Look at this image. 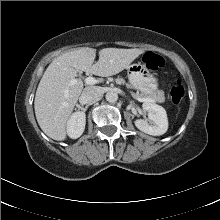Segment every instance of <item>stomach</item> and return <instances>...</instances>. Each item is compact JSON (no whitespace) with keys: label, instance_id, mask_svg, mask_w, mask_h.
<instances>
[{"label":"stomach","instance_id":"stomach-1","mask_svg":"<svg viewBox=\"0 0 220 220\" xmlns=\"http://www.w3.org/2000/svg\"><path fill=\"white\" fill-rule=\"evenodd\" d=\"M127 72L131 86L143 95L153 97L161 92L158 89V79L145 65L141 63L129 65Z\"/></svg>","mask_w":220,"mask_h":220}]
</instances>
